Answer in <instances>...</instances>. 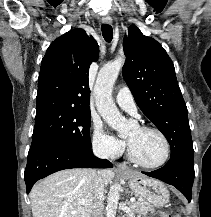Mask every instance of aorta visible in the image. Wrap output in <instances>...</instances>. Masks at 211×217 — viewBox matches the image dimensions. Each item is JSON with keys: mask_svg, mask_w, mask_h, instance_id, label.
<instances>
[{"mask_svg": "<svg viewBox=\"0 0 211 217\" xmlns=\"http://www.w3.org/2000/svg\"><path fill=\"white\" fill-rule=\"evenodd\" d=\"M125 59L120 57L106 64L98 73L94 94L98 112L107 124L120 134L127 130V120L121 115L112 99L113 85L123 67ZM120 185L111 186L106 207V217H115L120 198Z\"/></svg>", "mask_w": 211, "mask_h": 217, "instance_id": "1", "label": "aorta"}]
</instances>
